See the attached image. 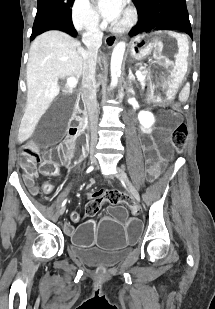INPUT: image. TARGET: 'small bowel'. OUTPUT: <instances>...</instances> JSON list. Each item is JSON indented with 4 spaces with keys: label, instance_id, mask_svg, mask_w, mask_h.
<instances>
[{
    "label": "small bowel",
    "instance_id": "c3829d8e",
    "mask_svg": "<svg viewBox=\"0 0 215 309\" xmlns=\"http://www.w3.org/2000/svg\"><path fill=\"white\" fill-rule=\"evenodd\" d=\"M32 192L35 194V193L37 192V190H36L35 188H33V189H32ZM130 207H131L133 213H134V210H135V209H138V206H137L136 203L133 202V201H132V203L130 204Z\"/></svg>",
    "mask_w": 215,
    "mask_h": 309
}]
</instances>
